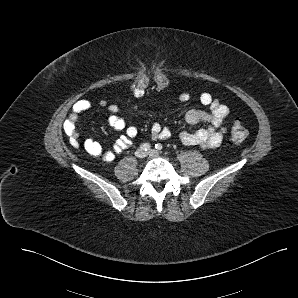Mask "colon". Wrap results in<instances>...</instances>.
Masks as SVG:
<instances>
[{
    "instance_id": "obj_1",
    "label": "colon",
    "mask_w": 298,
    "mask_h": 298,
    "mask_svg": "<svg viewBox=\"0 0 298 298\" xmlns=\"http://www.w3.org/2000/svg\"><path fill=\"white\" fill-rule=\"evenodd\" d=\"M153 79L155 85L159 89H164L169 84V78L167 74L162 70H157L154 72ZM150 84V76L148 72L140 71L132 85L131 90L133 94L137 97L143 96L148 90V86ZM64 130L66 134L70 138V142L72 145L78 144V136H77V122L71 119H67L64 123ZM248 136V130L246 127L239 121H235L231 125L230 129V140L233 144L242 143Z\"/></svg>"
}]
</instances>
